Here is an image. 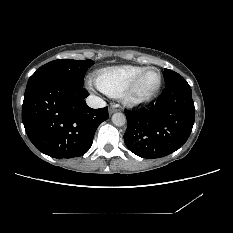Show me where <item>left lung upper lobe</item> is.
<instances>
[{
  "mask_svg": "<svg viewBox=\"0 0 233 233\" xmlns=\"http://www.w3.org/2000/svg\"><path fill=\"white\" fill-rule=\"evenodd\" d=\"M163 76L165 79V85H168L171 82H174L175 80H177L179 78H183L181 75H179L178 73H176L170 69H165L163 72Z\"/></svg>",
  "mask_w": 233,
  "mask_h": 233,
  "instance_id": "left-lung-upper-lobe-1",
  "label": "left lung upper lobe"
}]
</instances>
